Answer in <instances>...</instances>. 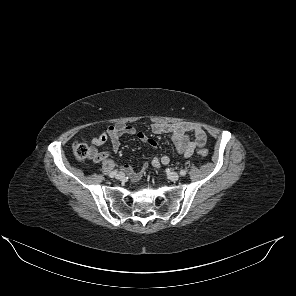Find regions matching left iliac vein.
<instances>
[{"instance_id":"4c4485c4","label":"left iliac vein","mask_w":296,"mask_h":296,"mask_svg":"<svg viewBox=\"0 0 296 296\" xmlns=\"http://www.w3.org/2000/svg\"><path fill=\"white\" fill-rule=\"evenodd\" d=\"M167 177L171 181H177L179 179V174L177 172L171 171V172H168Z\"/></svg>"}]
</instances>
